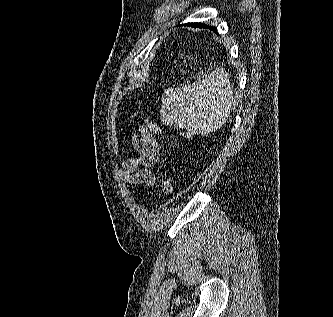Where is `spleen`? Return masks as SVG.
<instances>
[{
    "mask_svg": "<svg viewBox=\"0 0 333 317\" xmlns=\"http://www.w3.org/2000/svg\"><path fill=\"white\" fill-rule=\"evenodd\" d=\"M233 102L228 75L217 69L193 83L166 90L160 116L164 124L208 135L225 124Z\"/></svg>",
    "mask_w": 333,
    "mask_h": 317,
    "instance_id": "3e777b00",
    "label": "spleen"
}]
</instances>
